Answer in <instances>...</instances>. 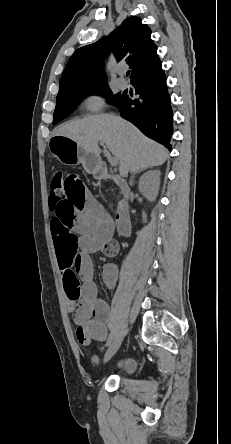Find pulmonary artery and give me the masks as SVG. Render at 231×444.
Listing matches in <instances>:
<instances>
[{"label":"pulmonary artery","instance_id":"obj_1","mask_svg":"<svg viewBox=\"0 0 231 444\" xmlns=\"http://www.w3.org/2000/svg\"><path fill=\"white\" fill-rule=\"evenodd\" d=\"M122 70H123V69H120V70H119V73H122ZM117 85H118L119 88H121V89H125V88L128 87V82H127L126 79H124V78H122V77H119V78L117 79Z\"/></svg>","mask_w":231,"mask_h":444}]
</instances>
